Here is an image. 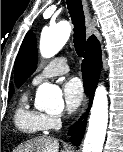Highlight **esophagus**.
<instances>
[{
  "mask_svg": "<svg viewBox=\"0 0 123 152\" xmlns=\"http://www.w3.org/2000/svg\"><path fill=\"white\" fill-rule=\"evenodd\" d=\"M82 4H83V9H84V14H85L86 25L89 26L91 25V13L88 7V0H82ZM87 106H88V95L85 96L80 116L84 115V113L86 112Z\"/></svg>",
  "mask_w": 123,
  "mask_h": 152,
  "instance_id": "obj_1",
  "label": "esophagus"
}]
</instances>
